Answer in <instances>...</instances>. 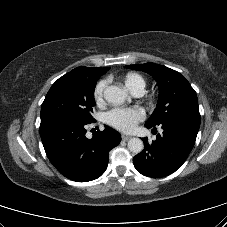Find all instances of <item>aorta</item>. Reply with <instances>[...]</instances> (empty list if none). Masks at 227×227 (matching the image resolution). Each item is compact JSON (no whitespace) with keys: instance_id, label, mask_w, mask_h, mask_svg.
Segmentation results:
<instances>
[{"instance_id":"aorta-1","label":"aorta","mask_w":227,"mask_h":227,"mask_svg":"<svg viewBox=\"0 0 227 227\" xmlns=\"http://www.w3.org/2000/svg\"><path fill=\"white\" fill-rule=\"evenodd\" d=\"M104 98L107 102L118 105L125 101L127 93L120 87L112 85L104 90ZM144 148L143 141L139 138H131L128 141V149L132 153H140Z\"/></svg>"}]
</instances>
